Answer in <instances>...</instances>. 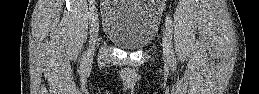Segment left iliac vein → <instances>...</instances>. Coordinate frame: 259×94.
I'll return each mask as SVG.
<instances>
[{
    "mask_svg": "<svg viewBox=\"0 0 259 94\" xmlns=\"http://www.w3.org/2000/svg\"><path fill=\"white\" fill-rule=\"evenodd\" d=\"M162 47H163L164 61L166 63H169L170 62V48H169L168 38L166 35H164V37H163Z\"/></svg>",
    "mask_w": 259,
    "mask_h": 94,
    "instance_id": "4c4485c4",
    "label": "left iliac vein"
}]
</instances>
